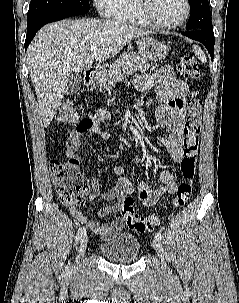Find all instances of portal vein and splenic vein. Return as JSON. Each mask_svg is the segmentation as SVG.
I'll use <instances>...</instances> for the list:
<instances>
[{
    "label": "portal vein and splenic vein",
    "mask_w": 239,
    "mask_h": 303,
    "mask_svg": "<svg viewBox=\"0 0 239 303\" xmlns=\"http://www.w3.org/2000/svg\"><path fill=\"white\" fill-rule=\"evenodd\" d=\"M95 49H96V46H91V47L89 48L90 51H94Z\"/></svg>",
    "instance_id": "portal-vein-and-splenic-vein-1"
}]
</instances>
